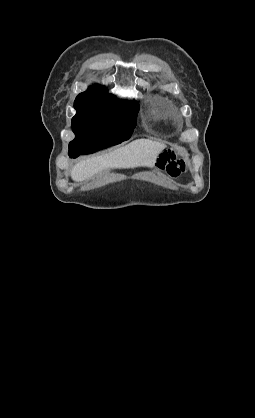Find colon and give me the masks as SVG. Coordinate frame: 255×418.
<instances>
[{"instance_id": "colon-1", "label": "colon", "mask_w": 255, "mask_h": 418, "mask_svg": "<svg viewBox=\"0 0 255 418\" xmlns=\"http://www.w3.org/2000/svg\"><path fill=\"white\" fill-rule=\"evenodd\" d=\"M157 167L160 170L166 171L170 176L176 177L185 170V163L183 160L177 158L174 151L168 150L160 155L157 161Z\"/></svg>"}]
</instances>
